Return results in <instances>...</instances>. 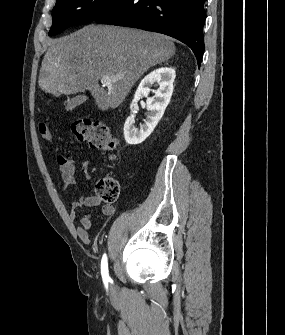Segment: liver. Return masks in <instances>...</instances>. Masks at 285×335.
Returning <instances> with one entry per match:
<instances>
[{
  "label": "liver",
  "mask_w": 285,
  "mask_h": 335,
  "mask_svg": "<svg viewBox=\"0 0 285 335\" xmlns=\"http://www.w3.org/2000/svg\"><path fill=\"white\" fill-rule=\"evenodd\" d=\"M49 46L39 74L45 94L70 96L89 90L99 110H115L135 82L152 66L175 54L168 36L120 26H84L70 36L47 40ZM124 78L100 88L102 76Z\"/></svg>",
  "instance_id": "obj_1"
}]
</instances>
